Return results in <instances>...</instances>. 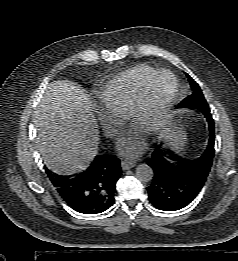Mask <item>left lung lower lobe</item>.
<instances>
[{"label":"left lung lower lobe","mask_w":238,"mask_h":261,"mask_svg":"<svg viewBox=\"0 0 238 261\" xmlns=\"http://www.w3.org/2000/svg\"><path fill=\"white\" fill-rule=\"evenodd\" d=\"M200 110L206 117L210 130L207 149L197 158L187 159L177 155L167 156L156 147L147 164L154 177L147 188L150 202L164 211L180 210L194 200L202 189L214 157V121L209 108Z\"/></svg>","instance_id":"obj_1"}]
</instances>
